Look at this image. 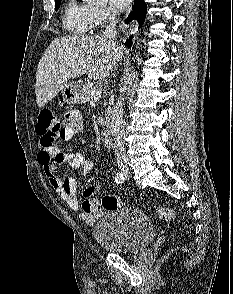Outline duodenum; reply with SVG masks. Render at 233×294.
I'll return each mask as SVG.
<instances>
[{
  "instance_id": "1",
  "label": "duodenum",
  "mask_w": 233,
  "mask_h": 294,
  "mask_svg": "<svg viewBox=\"0 0 233 294\" xmlns=\"http://www.w3.org/2000/svg\"><path fill=\"white\" fill-rule=\"evenodd\" d=\"M101 141L105 146H110L112 144V138L107 130L101 132Z\"/></svg>"
}]
</instances>
